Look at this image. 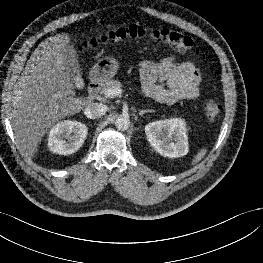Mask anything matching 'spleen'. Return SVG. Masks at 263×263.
Masks as SVG:
<instances>
[{"mask_svg":"<svg viewBox=\"0 0 263 263\" xmlns=\"http://www.w3.org/2000/svg\"><path fill=\"white\" fill-rule=\"evenodd\" d=\"M206 153H207V150H206V149H201V150L197 153V155L194 157L192 164H196V163H198L199 161H201V159L206 155Z\"/></svg>","mask_w":263,"mask_h":263,"instance_id":"3e777b00","label":"spleen"}]
</instances>
